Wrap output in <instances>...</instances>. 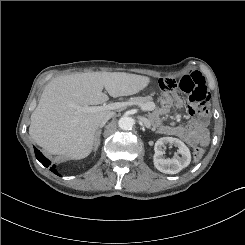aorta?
<instances>
[{"instance_id":"obj_1","label":"aorta","mask_w":245,"mask_h":245,"mask_svg":"<svg viewBox=\"0 0 245 245\" xmlns=\"http://www.w3.org/2000/svg\"><path fill=\"white\" fill-rule=\"evenodd\" d=\"M134 119L128 116H122L118 121V126L122 130H131L134 126Z\"/></svg>"}]
</instances>
